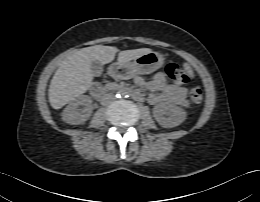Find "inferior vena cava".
<instances>
[{
	"mask_svg": "<svg viewBox=\"0 0 260 202\" xmlns=\"http://www.w3.org/2000/svg\"><path fill=\"white\" fill-rule=\"evenodd\" d=\"M114 100H115V96L112 93H107V94L102 96L101 104L102 105H108L111 102H113Z\"/></svg>",
	"mask_w": 260,
	"mask_h": 202,
	"instance_id": "1",
	"label": "inferior vena cava"
}]
</instances>
